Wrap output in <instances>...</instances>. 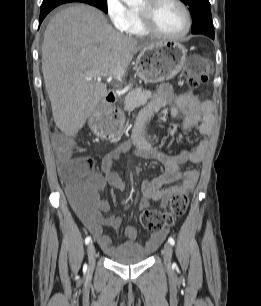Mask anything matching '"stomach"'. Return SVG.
I'll return each mask as SVG.
<instances>
[{
    "instance_id": "1",
    "label": "stomach",
    "mask_w": 261,
    "mask_h": 306,
    "mask_svg": "<svg viewBox=\"0 0 261 306\" xmlns=\"http://www.w3.org/2000/svg\"><path fill=\"white\" fill-rule=\"evenodd\" d=\"M186 53V48L178 41L157 42L141 50L136 60L137 74L146 83L172 79L183 68ZM102 121L103 114L93 112L89 118V125L94 134L105 138L110 133Z\"/></svg>"
}]
</instances>
